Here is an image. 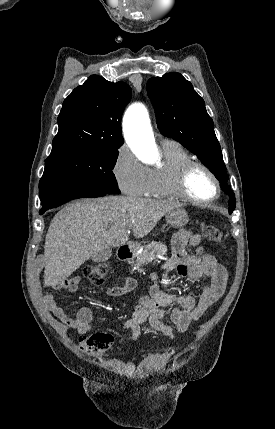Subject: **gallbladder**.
Segmentation results:
<instances>
[{
    "mask_svg": "<svg viewBox=\"0 0 275 429\" xmlns=\"http://www.w3.org/2000/svg\"><path fill=\"white\" fill-rule=\"evenodd\" d=\"M112 255L111 248H105L94 255L91 259L94 263L106 262Z\"/></svg>",
    "mask_w": 275,
    "mask_h": 429,
    "instance_id": "1",
    "label": "gallbladder"
}]
</instances>
